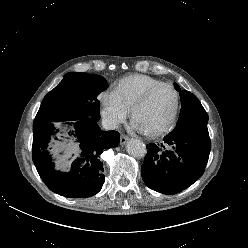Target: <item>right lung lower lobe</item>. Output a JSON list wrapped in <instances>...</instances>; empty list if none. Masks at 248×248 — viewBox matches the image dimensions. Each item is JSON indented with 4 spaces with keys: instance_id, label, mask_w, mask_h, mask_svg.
I'll list each match as a JSON object with an SVG mask.
<instances>
[{
    "instance_id": "right-lung-lower-lobe-1",
    "label": "right lung lower lobe",
    "mask_w": 248,
    "mask_h": 248,
    "mask_svg": "<svg viewBox=\"0 0 248 248\" xmlns=\"http://www.w3.org/2000/svg\"><path fill=\"white\" fill-rule=\"evenodd\" d=\"M74 120H79L75 125L76 134L71 132L70 135L76 136L81 157L72 163L71 171L65 173L54 169L47 148L51 136L58 132L53 122L33 123L32 158L41 179L51 191L69 198H86L101 190L105 177L100 155L106 149L117 147L120 137L116 131H102L98 120L91 117Z\"/></svg>"
}]
</instances>
